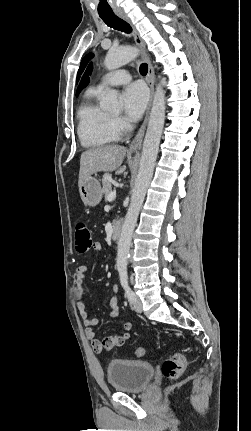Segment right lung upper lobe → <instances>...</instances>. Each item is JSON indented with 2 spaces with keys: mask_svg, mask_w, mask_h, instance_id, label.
Instances as JSON below:
<instances>
[{
  "mask_svg": "<svg viewBox=\"0 0 251 431\" xmlns=\"http://www.w3.org/2000/svg\"><path fill=\"white\" fill-rule=\"evenodd\" d=\"M92 70H93V65H92V63L88 66V68H87V70H86V72H85V74L83 75V77H82V80H81V82H80V84H79V86H78V89H77V92H76V96H78V94L81 92V90L89 83V81H90V75H91V73H92Z\"/></svg>",
  "mask_w": 251,
  "mask_h": 431,
  "instance_id": "cb5924a9",
  "label": "right lung upper lobe"
}]
</instances>
